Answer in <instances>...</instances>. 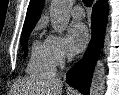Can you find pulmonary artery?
Returning a JSON list of instances; mask_svg holds the SVG:
<instances>
[{
  "label": "pulmonary artery",
  "mask_w": 119,
  "mask_h": 95,
  "mask_svg": "<svg viewBox=\"0 0 119 95\" xmlns=\"http://www.w3.org/2000/svg\"><path fill=\"white\" fill-rule=\"evenodd\" d=\"M71 13H72V16L76 19H82L85 15L84 10L81 6L73 7Z\"/></svg>",
  "instance_id": "e3ab8cb5"
}]
</instances>
